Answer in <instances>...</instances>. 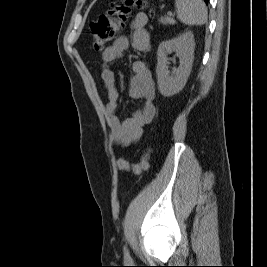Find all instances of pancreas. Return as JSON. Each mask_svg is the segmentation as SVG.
Here are the masks:
<instances>
[{"mask_svg": "<svg viewBox=\"0 0 267 267\" xmlns=\"http://www.w3.org/2000/svg\"><path fill=\"white\" fill-rule=\"evenodd\" d=\"M160 23L164 24V25H167V24H170V25H174L176 23V21L173 19V18H170V17H161L159 19Z\"/></svg>", "mask_w": 267, "mask_h": 267, "instance_id": "1", "label": "pancreas"}]
</instances>
